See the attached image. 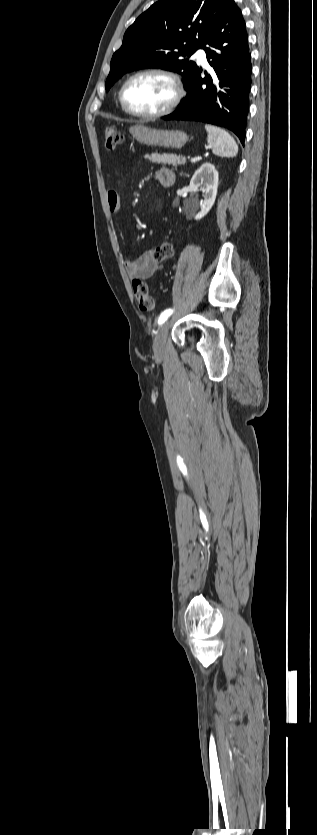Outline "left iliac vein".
<instances>
[{"label":"left iliac vein","mask_w":317,"mask_h":835,"mask_svg":"<svg viewBox=\"0 0 317 835\" xmlns=\"http://www.w3.org/2000/svg\"><path fill=\"white\" fill-rule=\"evenodd\" d=\"M168 329H169V322H166L160 327V329H159V331H158V333L155 337V340H154V343H153V352H154V355L156 357H160L164 353L165 346H166L167 335H168Z\"/></svg>","instance_id":"obj_1"}]
</instances>
